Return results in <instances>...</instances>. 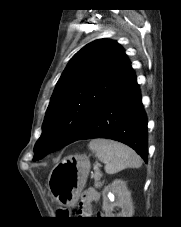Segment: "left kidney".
Instances as JSON below:
<instances>
[{
	"instance_id": "left-kidney-1",
	"label": "left kidney",
	"mask_w": 181,
	"mask_h": 227,
	"mask_svg": "<svg viewBox=\"0 0 181 227\" xmlns=\"http://www.w3.org/2000/svg\"><path fill=\"white\" fill-rule=\"evenodd\" d=\"M115 207L121 209L117 214L113 213ZM102 209L106 217H132L134 207L131 192L128 190L125 181L114 180L112 184L105 187Z\"/></svg>"
}]
</instances>
